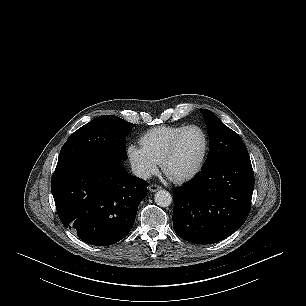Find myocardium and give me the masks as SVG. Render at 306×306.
<instances>
[{
	"instance_id": "1",
	"label": "myocardium",
	"mask_w": 306,
	"mask_h": 306,
	"mask_svg": "<svg viewBox=\"0 0 306 306\" xmlns=\"http://www.w3.org/2000/svg\"><path fill=\"white\" fill-rule=\"evenodd\" d=\"M190 129L199 130L204 137V151H203L202 157H201L198 165L196 166V168L192 172H190L186 175L178 176V177H171L167 174V165L171 161V159L175 156V154L177 152V149H178V146H179V143H180L183 135ZM209 149H210V141H209L208 134L204 130V128H202L201 126H199L197 124L187 125L176 135V137L173 139L168 151L164 155V157L161 161L162 171L164 172V174L170 180H172L176 183H183V182L190 181V180L194 179L195 177H197L200 174V172L202 171V169H203V167L206 163L207 157H208Z\"/></svg>"
}]
</instances>
